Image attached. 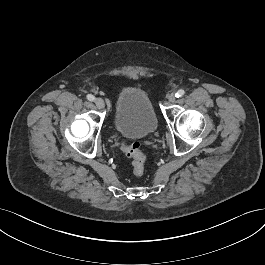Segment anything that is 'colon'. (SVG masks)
Listing matches in <instances>:
<instances>
[{"instance_id":"5ec220e1","label":"colon","mask_w":265,"mask_h":265,"mask_svg":"<svg viewBox=\"0 0 265 265\" xmlns=\"http://www.w3.org/2000/svg\"><path fill=\"white\" fill-rule=\"evenodd\" d=\"M121 148L123 153L131 159L133 174L137 177L142 176L146 168V156L141 150L140 143L123 144Z\"/></svg>"}]
</instances>
